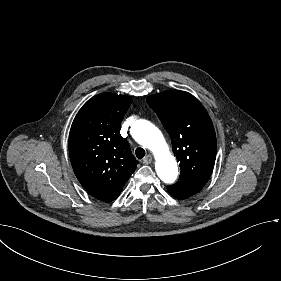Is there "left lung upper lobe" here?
Here are the masks:
<instances>
[{
  "mask_svg": "<svg viewBox=\"0 0 281 281\" xmlns=\"http://www.w3.org/2000/svg\"><path fill=\"white\" fill-rule=\"evenodd\" d=\"M147 103L169 133L173 152L180 161V179L167 189L185 197L196 194L212 173L217 151L207 111L193 95L179 90L149 96Z\"/></svg>",
  "mask_w": 281,
  "mask_h": 281,
  "instance_id": "left-lung-upper-lobe-1",
  "label": "left lung upper lobe"
}]
</instances>
